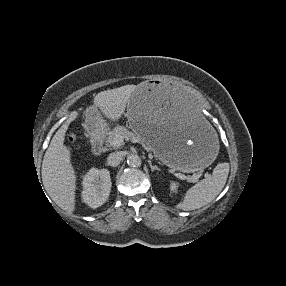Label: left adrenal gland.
<instances>
[{"mask_svg": "<svg viewBox=\"0 0 286 286\" xmlns=\"http://www.w3.org/2000/svg\"><path fill=\"white\" fill-rule=\"evenodd\" d=\"M149 166H150L152 172H154V170L161 171L160 168H158L156 165H152L151 162H149Z\"/></svg>", "mask_w": 286, "mask_h": 286, "instance_id": "left-adrenal-gland-1", "label": "left adrenal gland"}]
</instances>
